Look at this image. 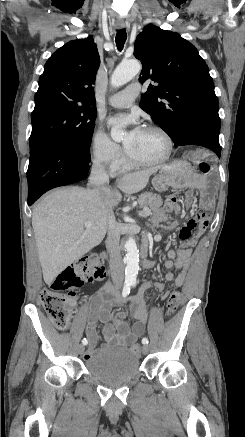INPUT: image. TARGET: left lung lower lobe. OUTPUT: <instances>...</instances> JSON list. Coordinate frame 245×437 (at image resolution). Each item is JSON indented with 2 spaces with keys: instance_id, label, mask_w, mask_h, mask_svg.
Segmentation results:
<instances>
[{
  "instance_id": "0a47b994",
  "label": "left lung lower lobe",
  "mask_w": 245,
  "mask_h": 437,
  "mask_svg": "<svg viewBox=\"0 0 245 437\" xmlns=\"http://www.w3.org/2000/svg\"><path fill=\"white\" fill-rule=\"evenodd\" d=\"M219 130L209 125H196L182 136L177 146L200 145L211 149L220 158Z\"/></svg>"
}]
</instances>
